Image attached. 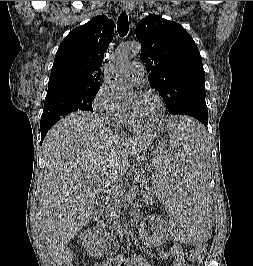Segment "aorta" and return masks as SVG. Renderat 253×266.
<instances>
[{
  "instance_id": "1",
  "label": "aorta",
  "mask_w": 253,
  "mask_h": 266,
  "mask_svg": "<svg viewBox=\"0 0 253 266\" xmlns=\"http://www.w3.org/2000/svg\"><path fill=\"white\" fill-rule=\"evenodd\" d=\"M141 50V45L137 42H131L118 46L115 51V59L112 65L111 76L108 79V85L115 95L119 98L128 97L132 92V87L122 78L117 76L118 68L129 62Z\"/></svg>"
}]
</instances>
